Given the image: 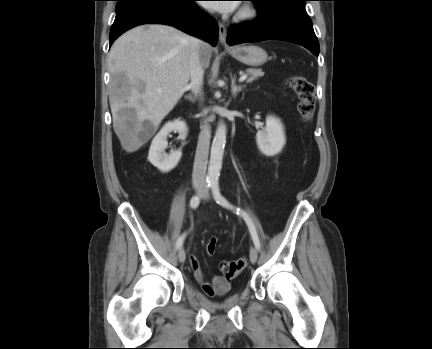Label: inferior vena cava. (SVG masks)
Returning a JSON list of instances; mask_svg holds the SVG:
<instances>
[{"mask_svg": "<svg viewBox=\"0 0 432 349\" xmlns=\"http://www.w3.org/2000/svg\"><path fill=\"white\" fill-rule=\"evenodd\" d=\"M203 42L195 37L191 38V54H190V84L188 88L192 91L201 94L203 86L204 70L200 60V47ZM211 131L210 126L205 121L201 127L199 134L193 173V185L204 186L206 184V170L208 163L209 145H210Z\"/></svg>", "mask_w": 432, "mask_h": 349, "instance_id": "obj_1", "label": "inferior vena cava"}]
</instances>
